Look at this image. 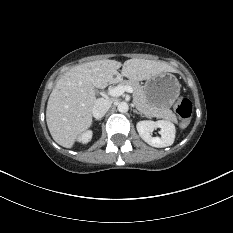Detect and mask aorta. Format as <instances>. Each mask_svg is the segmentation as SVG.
Returning a JSON list of instances; mask_svg holds the SVG:
<instances>
[{"label":"aorta","instance_id":"obj_1","mask_svg":"<svg viewBox=\"0 0 233 233\" xmlns=\"http://www.w3.org/2000/svg\"><path fill=\"white\" fill-rule=\"evenodd\" d=\"M117 109L119 112L121 113H125L128 111L129 109V106L126 102H119L118 105H117Z\"/></svg>","mask_w":233,"mask_h":233}]
</instances>
